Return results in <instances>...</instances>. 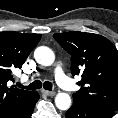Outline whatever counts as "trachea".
Wrapping results in <instances>:
<instances>
[{
	"instance_id": "1",
	"label": "trachea",
	"mask_w": 118,
	"mask_h": 118,
	"mask_svg": "<svg viewBox=\"0 0 118 118\" xmlns=\"http://www.w3.org/2000/svg\"><path fill=\"white\" fill-rule=\"evenodd\" d=\"M43 86L44 89L51 91L52 90V83L49 81H45L43 84L40 80H36L32 82L28 86H23L19 84V87L25 88V89H30V90H35V89H40Z\"/></svg>"
}]
</instances>
